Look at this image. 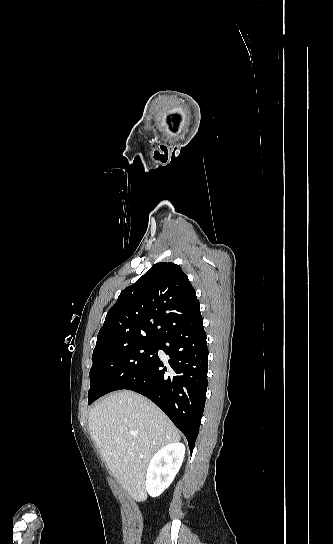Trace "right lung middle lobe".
<instances>
[{"instance_id": "obj_1", "label": "right lung middle lobe", "mask_w": 333, "mask_h": 544, "mask_svg": "<svg viewBox=\"0 0 333 544\" xmlns=\"http://www.w3.org/2000/svg\"><path fill=\"white\" fill-rule=\"evenodd\" d=\"M158 343L159 340L138 339L94 354L89 373L88 404L139 377L157 356Z\"/></svg>"}]
</instances>
